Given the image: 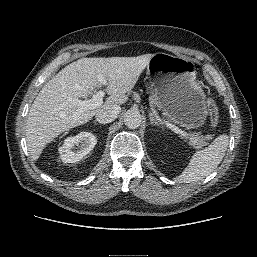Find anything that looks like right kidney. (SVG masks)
Listing matches in <instances>:
<instances>
[{
  "mask_svg": "<svg viewBox=\"0 0 257 257\" xmlns=\"http://www.w3.org/2000/svg\"><path fill=\"white\" fill-rule=\"evenodd\" d=\"M97 138L90 132H81L65 139L58 149L60 159L64 163H75L86 156L96 145Z\"/></svg>",
  "mask_w": 257,
  "mask_h": 257,
  "instance_id": "obj_1",
  "label": "right kidney"
}]
</instances>
